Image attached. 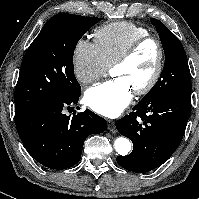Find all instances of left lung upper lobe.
Here are the masks:
<instances>
[{"instance_id": "left-lung-upper-lobe-1", "label": "left lung upper lobe", "mask_w": 199, "mask_h": 199, "mask_svg": "<svg viewBox=\"0 0 199 199\" xmlns=\"http://www.w3.org/2000/svg\"><path fill=\"white\" fill-rule=\"evenodd\" d=\"M165 53V65L153 88L143 97L140 104L160 101L174 94L191 95V74L182 43L159 20L151 18Z\"/></svg>"}]
</instances>
